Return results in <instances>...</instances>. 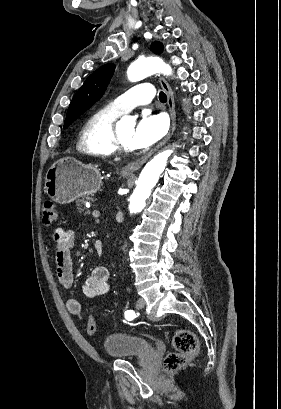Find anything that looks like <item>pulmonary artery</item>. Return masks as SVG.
<instances>
[{"label":"pulmonary artery","mask_w":281,"mask_h":409,"mask_svg":"<svg viewBox=\"0 0 281 409\" xmlns=\"http://www.w3.org/2000/svg\"><path fill=\"white\" fill-rule=\"evenodd\" d=\"M150 84L147 81H138L131 90H123L122 97H116L112 102V111L119 114L134 110L135 106L148 105L154 97L152 90H147Z\"/></svg>","instance_id":"obj_1"}]
</instances>
